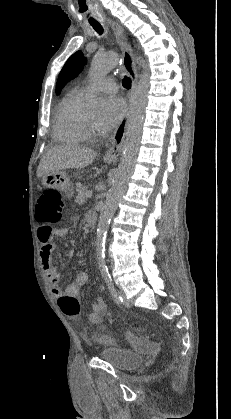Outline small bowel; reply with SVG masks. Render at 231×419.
<instances>
[{"instance_id": "c3829d8e", "label": "small bowel", "mask_w": 231, "mask_h": 419, "mask_svg": "<svg viewBox=\"0 0 231 419\" xmlns=\"http://www.w3.org/2000/svg\"><path fill=\"white\" fill-rule=\"evenodd\" d=\"M67 229L52 228L47 224H43L38 228L37 236L40 242V258L44 272L49 279L52 294L59 298L67 295L78 298L81 288L88 281V273L80 271L76 274L74 280L69 283L63 291L59 285V275L53 264V254L56 248L54 238H62L66 235ZM106 315V303L102 297H98L92 304V311L88 314V320L92 324H100ZM133 343H139L136 337H132Z\"/></svg>"}]
</instances>
